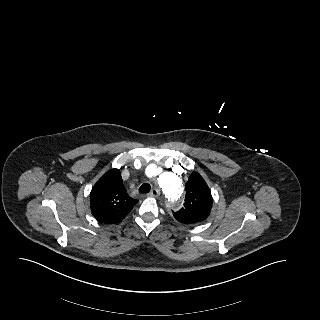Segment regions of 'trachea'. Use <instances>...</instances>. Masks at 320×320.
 I'll list each match as a JSON object with an SVG mask.
<instances>
[{"mask_svg":"<svg viewBox=\"0 0 320 320\" xmlns=\"http://www.w3.org/2000/svg\"><path fill=\"white\" fill-rule=\"evenodd\" d=\"M150 189H151L150 184L144 183V184H142V185L140 186L139 192L142 193V194H144V193H149Z\"/></svg>","mask_w":320,"mask_h":320,"instance_id":"obj_1","label":"trachea"}]
</instances>
